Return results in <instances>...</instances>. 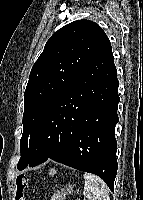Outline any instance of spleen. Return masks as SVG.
I'll list each match as a JSON object with an SVG mask.
<instances>
[{
	"instance_id": "obj_1",
	"label": "spleen",
	"mask_w": 143,
	"mask_h": 200,
	"mask_svg": "<svg viewBox=\"0 0 143 200\" xmlns=\"http://www.w3.org/2000/svg\"><path fill=\"white\" fill-rule=\"evenodd\" d=\"M83 195L88 200H110L109 188L97 175L84 173Z\"/></svg>"
}]
</instances>
